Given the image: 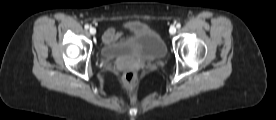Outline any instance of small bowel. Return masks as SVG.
<instances>
[{
  "mask_svg": "<svg viewBox=\"0 0 276 120\" xmlns=\"http://www.w3.org/2000/svg\"><path fill=\"white\" fill-rule=\"evenodd\" d=\"M120 36L119 33H117L114 29H109L106 31L105 35H104V39L107 42H110L116 38H118Z\"/></svg>",
  "mask_w": 276,
  "mask_h": 120,
  "instance_id": "c3829d8e",
  "label": "small bowel"
}]
</instances>
